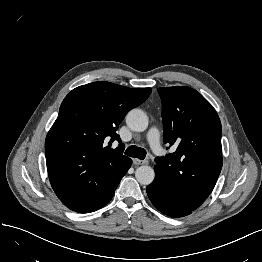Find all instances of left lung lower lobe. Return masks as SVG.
Returning <instances> with one entry per match:
<instances>
[{"label":"left lung lower lobe","instance_id":"left-lung-lower-lobe-1","mask_svg":"<svg viewBox=\"0 0 262 262\" xmlns=\"http://www.w3.org/2000/svg\"><path fill=\"white\" fill-rule=\"evenodd\" d=\"M147 194L152 204L160 212L169 217L180 218L191 214L193 211L179 204L170 194L163 190L156 177L155 180L147 186Z\"/></svg>","mask_w":262,"mask_h":262}]
</instances>
